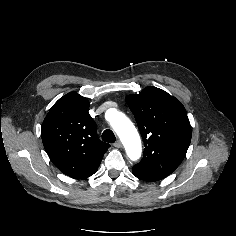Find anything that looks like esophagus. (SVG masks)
I'll list each match as a JSON object with an SVG mask.
<instances>
[{
	"label": "esophagus",
	"mask_w": 236,
	"mask_h": 236,
	"mask_svg": "<svg viewBox=\"0 0 236 236\" xmlns=\"http://www.w3.org/2000/svg\"><path fill=\"white\" fill-rule=\"evenodd\" d=\"M114 147L116 148H121L122 147V143L120 140H117L114 144H113Z\"/></svg>",
	"instance_id": "1"
}]
</instances>
